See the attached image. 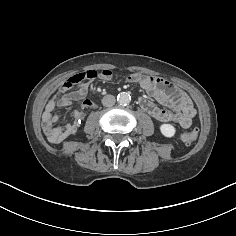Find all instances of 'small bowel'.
I'll return each mask as SVG.
<instances>
[{"mask_svg": "<svg viewBox=\"0 0 236 236\" xmlns=\"http://www.w3.org/2000/svg\"><path fill=\"white\" fill-rule=\"evenodd\" d=\"M134 75L136 76L135 81H129L127 78L126 81L139 83L148 96L167 106V108H159L149 98L142 97L139 100V104L144 111L159 122L173 121L182 128H189L191 126L196 110L191 99L184 91L156 76ZM99 76L103 79L110 78L101 75V73ZM96 77L97 72L88 70L67 78L47 102L42 114V127L47 139L51 143H60L67 137L75 134L84 119L83 110H74L72 113L73 121L71 123L56 125L60 120V116L54 114V110L57 107H70L73 101L81 99H83L81 104L83 109L94 108L95 103L92 100L85 99V97L88 93L89 81Z\"/></svg>", "mask_w": 236, "mask_h": 236, "instance_id": "obj_1", "label": "small bowel"}]
</instances>
